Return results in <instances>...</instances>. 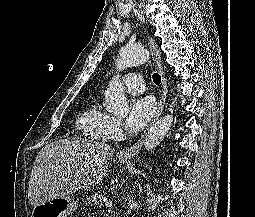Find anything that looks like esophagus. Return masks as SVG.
I'll list each match as a JSON object with an SVG mask.
<instances>
[{
  "label": "esophagus",
  "mask_w": 255,
  "mask_h": 217,
  "mask_svg": "<svg viewBox=\"0 0 255 217\" xmlns=\"http://www.w3.org/2000/svg\"><path fill=\"white\" fill-rule=\"evenodd\" d=\"M146 33H147V39H148V44H149L152 60L158 72L160 73L161 79H162L161 96H160L156 113L150 122V126H151L153 123H155V121L159 118V116L162 113V110L166 102L167 94H168V86H167V79L165 76V72L161 65V57H160V52L158 50V46L156 42L154 41V39L151 37V35H149L147 31ZM144 136L145 134L141 135V137L138 139V141L134 145L119 152L118 157L121 159H130L131 157L135 156L143 146Z\"/></svg>",
  "instance_id": "esophagus-1"
}]
</instances>
